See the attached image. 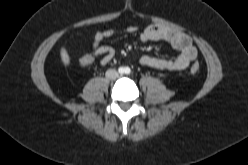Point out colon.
<instances>
[{
	"label": "colon",
	"instance_id": "5ec220e1",
	"mask_svg": "<svg viewBox=\"0 0 248 165\" xmlns=\"http://www.w3.org/2000/svg\"><path fill=\"white\" fill-rule=\"evenodd\" d=\"M94 61V57L90 54H85L83 56L80 57V65L81 66H89L90 64H92V62ZM200 69V66L198 63H193L190 67V71L192 73H197Z\"/></svg>",
	"mask_w": 248,
	"mask_h": 165
}]
</instances>
